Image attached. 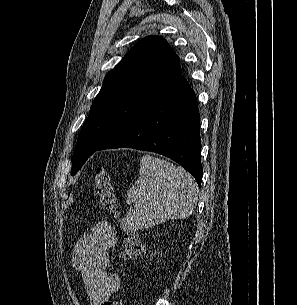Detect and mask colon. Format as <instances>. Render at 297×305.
Returning <instances> with one entry per match:
<instances>
[{
	"instance_id": "5ec220e1",
	"label": "colon",
	"mask_w": 297,
	"mask_h": 305,
	"mask_svg": "<svg viewBox=\"0 0 297 305\" xmlns=\"http://www.w3.org/2000/svg\"><path fill=\"white\" fill-rule=\"evenodd\" d=\"M95 194L99 204L109 212L117 213L118 207L116 196L113 190L110 175L104 167H99L94 176ZM144 252V242L139 234L129 232L124 236L121 257L125 260L134 261L142 256ZM104 305H124L121 300L110 299Z\"/></svg>"
}]
</instances>
